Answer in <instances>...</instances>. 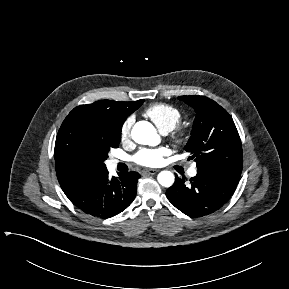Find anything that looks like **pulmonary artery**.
Segmentation results:
<instances>
[{
    "label": "pulmonary artery",
    "mask_w": 289,
    "mask_h": 289,
    "mask_svg": "<svg viewBox=\"0 0 289 289\" xmlns=\"http://www.w3.org/2000/svg\"><path fill=\"white\" fill-rule=\"evenodd\" d=\"M117 163V160H112L111 161V164L112 165H115ZM197 174V169L195 166H192L189 170H188V175L191 176V177H194L196 176Z\"/></svg>",
    "instance_id": "1"
}]
</instances>
